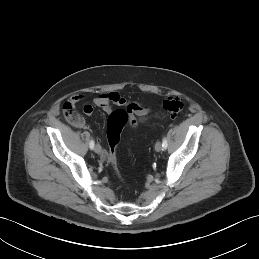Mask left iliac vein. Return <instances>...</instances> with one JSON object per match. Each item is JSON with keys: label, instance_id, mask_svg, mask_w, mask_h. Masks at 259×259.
<instances>
[{"label": "left iliac vein", "instance_id": "4c4485c4", "mask_svg": "<svg viewBox=\"0 0 259 259\" xmlns=\"http://www.w3.org/2000/svg\"><path fill=\"white\" fill-rule=\"evenodd\" d=\"M155 150H156L157 152H160V151L162 150L161 142H157V143L155 144Z\"/></svg>", "mask_w": 259, "mask_h": 259}]
</instances>
